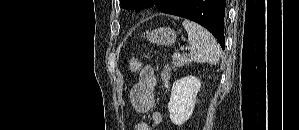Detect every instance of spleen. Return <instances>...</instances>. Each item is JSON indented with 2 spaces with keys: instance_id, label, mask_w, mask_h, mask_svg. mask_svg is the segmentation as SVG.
I'll return each instance as SVG.
<instances>
[{
  "instance_id": "1",
  "label": "spleen",
  "mask_w": 299,
  "mask_h": 130,
  "mask_svg": "<svg viewBox=\"0 0 299 130\" xmlns=\"http://www.w3.org/2000/svg\"><path fill=\"white\" fill-rule=\"evenodd\" d=\"M183 26L188 33L191 45L190 59L196 63L216 65L220 58V46L205 28L190 20H184Z\"/></svg>"
}]
</instances>
